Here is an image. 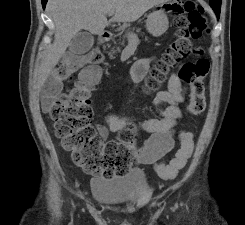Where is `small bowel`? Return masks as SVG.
<instances>
[{"mask_svg": "<svg viewBox=\"0 0 245 225\" xmlns=\"http://www.w3.org/2000/svg\"><path fill=\"white\" fill-rule=\"evenodd\" d=\"M155 57H147L137 60L125 76L127 82L138 83L146 76L149 67L155 62ZM86 72L91 74L87 80L89 88H94L101 75V67L90 66ZM186 86L178 73H172L168 81V89L157 93L154 105L159 114L158 118L131 119L119 117L114 113L105 116V125H98L97 130L102 138L107 137L108 131L119 133L130 125H137L141 132L149 136L142 147L132 154L133 161L138 165H155L159 160L169 153L174 146V136L178 134L180 143L184 134L190 133L177 130V125L182 118L179 104L184 100ZM50 101L43 102L44 112H47Z\"/></svg>", "mask_w": 245, "mask_h": 225, "instance_id": "1", "label": "small bowel"}]
</instances>
